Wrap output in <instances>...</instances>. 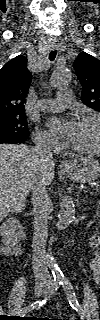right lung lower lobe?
Returning a JSON list of instances; mask_svg holds the SVG:
<instances>
[{
    "instance_id": "right-lung-lower-lobe-1",
    "label": "right lung lower lobe",
    "mask_w": 100,
    "mask_h": 320,
    "mask_svg": "<svg viewBox=\"0 0 100 320\" xmlns=\"http://www.w3.org/2000/svg\"><path fill=\"white\" fill-rule=\"evenodd\" d=\"M25 141L26 139H22V138H10L6 140H2L0 141V143L21 144V143H25Z\"/></svg>"
}]
</instances>
